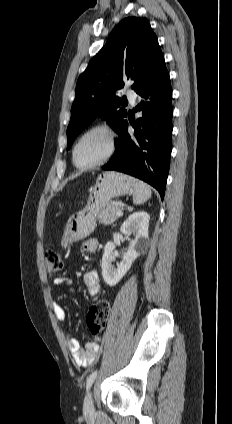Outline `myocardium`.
<instances>
[{
    "label": "myocardium",
    "mask_w": 232,
    "mask_h": 424,
    "mask_svg": "<svg viewBox=\"0 0 232 424\" xmlns=\"http://www.w3.org/2000/svg\"><path fill=\"white\" fill-rule=\"evenodd\" d=\"M93 132H102L107 136V138H108L107 151L105 152V154L102 157H100L96 161L89 163V164H86V165H80V164L77 163V160H76V151H77L78 145L84 137H86L87 135H89L90 133H93ZM116 145H117L116 132L114 131V129L111 126H109L107 124L93 125L90 128H88L87 130H85L76 139V141L73 145V148H72L73 164L75 165V167H77L78 169H81V170L91 169V168L100 166V165L104 164L106 161H108L113 156V154L115 153V150H116Z\"/></svg>",
    "instance_id": "myocardium-1"
}]
</instances>
